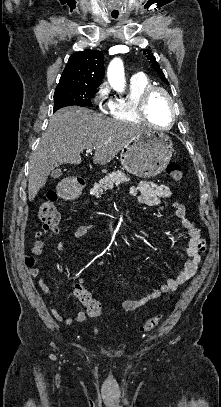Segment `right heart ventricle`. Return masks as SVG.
I'll use <instances>...</instances> for the list:
<instances>
[{
  "label": "right heart ventricle",
  "mask_w": 221,
  "mask_h": 407,
  "mask_svg": "<svg viewBox=\"0 0 221 407\" xmlns=\"http://www.w3.org/2000/svg\"><path fill=\"white\" fill-rule=\"evenodd\" d=\"M152 86L151 81L144 75L133 77L129 83L128 95L112 101L109 107L111 117L125 122L141 123L137 106L143 93Z\"/></svg>",
  "instance_id": "obj_1"
}]
</instances>
